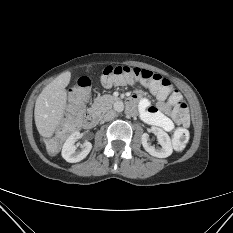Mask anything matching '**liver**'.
Segmentation results:
<instances>
[{
    "instance_id": "obj_1",
    "label": "liver",
    "mask_w": 233,
    "mask_h": 233,
    "mask_svg": "<svg viewBox=\"0 0 233 233\" xmlns=\"http://www.w3.org/2000/svg\"><path fill=\"white\" fill-rule=\"evenodd\" d=\"M71 79V72L57 76L39 94L34 109L35 124L42 137H51L62 121L66 102V87Z\"/></svg>"
}]
</instances>
